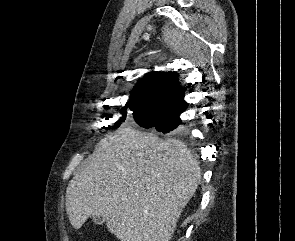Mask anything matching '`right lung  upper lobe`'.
Wrapping results in <instances>:
<instances>
[{
	"label": "right lung upper lobe",
	"instance_id": "cb5924a9",
	"mask_svg": "<svg viewBox=\"0 0 295 241\" xmlns=\"http://www.w3.org/2000/svg\"><path fill=\"white\" fill-rule=\"evenodd\" d=\"M176 72L147 73L134 87L127 104L171 116L186 108Z\"/></svg>",
	"mask_w": 295,
	"mask_h": 241
}]
</instances>
